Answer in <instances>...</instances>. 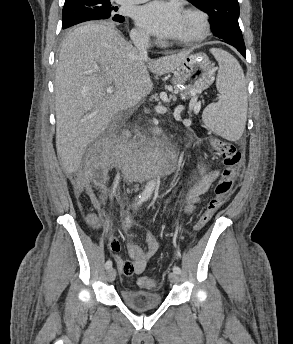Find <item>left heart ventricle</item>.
<instances>
[{"instance_id":"obj_1","label":"left heart ventricle","mask_w":293,"mask_h":344,"mask_svg":"<svg viewBox=\"0 0 293 344\" xmlns=\"http://www.w3.org/2000/svg\"><path fill=\"white\" fill-rule=\"evenodd\" d=\"M195 30L196 22L194 21V19L183 15L182 25L177 34L173 37V39L176 41L179 39L189 37L195 32Z\"/></svg>"}]
</instances>
